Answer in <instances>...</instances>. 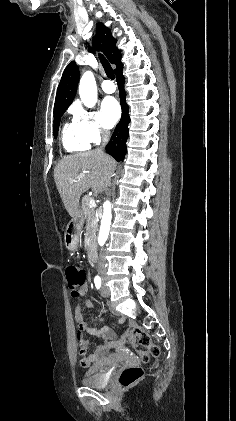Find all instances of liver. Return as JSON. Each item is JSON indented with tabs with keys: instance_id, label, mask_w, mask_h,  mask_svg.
Segmentation results:
<instances>
[{
	"instance_id": "1",
	"label": "liver",
	"mask_w": 236,
	"mask_h": 421,
	"mask_svg": "<svg viewBox=\"0 0 236 421\" xmlns=\"http://www.w3.org/2000/svg\"><path fill=\"white\" fill-rule=\"evenodd\" d=\"M116 170V160L97 150H88L80 154H68L57 162L54 178L58 192L70 217H76L82 192L92 188L94 192L106 190L111 184V176ZM86 174L85 178H76ZM69 178H76L69 182Z\"/></svg>"
}]
</instances>
